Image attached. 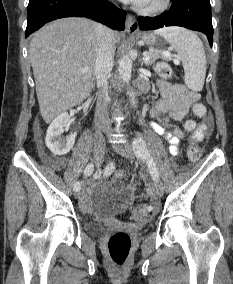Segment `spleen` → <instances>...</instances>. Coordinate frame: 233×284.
<instances>
[{
	"instance_id": "1",
	"label": "spleen",
	"mask_w": 233,
	"mask_h": 284,
	"mask_svg": "<svg viewBox=\"0 0 233 284\" xmlns=\"http://www.w3.org/2000/svg\"><path fill=\"white\" fill-rule=\"evenodd\" d=\"M176 50L182 61L185 84L192 91L202 90L206 75V56L201 39L182 27H165L156 31Z\"/></svg>"
}]
</instances>
